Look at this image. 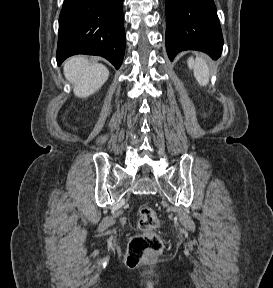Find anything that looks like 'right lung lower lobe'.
I'll return each instance as SVG.
<instances>
[{
  "mask_svg": "<svg viewBox=\"0 0 273 288\" xmlns=\"http://www.w3.org/2000/svg\"><path fill=\"white\" fill-rule=\"evenodd\" d=\"M125 53L123 0H64L59 16L57 64L74 54L99 55L116 69Z\"/></svg>",
  "mask_w": 273,
  "mask_h": 288,
  "instance_id": "98d812e1",
  "label": "right lung lower lobe"
}]
</instances>
